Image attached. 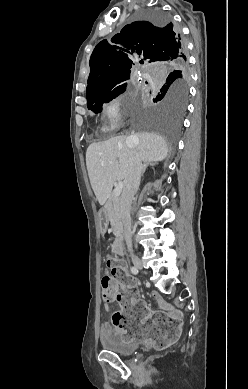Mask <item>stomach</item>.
I'll return each mask as SVG.
<instances>
[{
    "label": "stomach",
    "instance_id": "stomach-1",
    "mask_svg": "<svg viewBox=\"0 0 248 389\" xmlns=\"http://www.w3.org/2000/svg\"><path fill=\"white\" fill-rule=\"evenodd\" d=\"M107 209L105 207H100L99 208V213H100V225H101V230L100 233L103 235H106L108 233V226H107V220H110L111 215L110 213H106Z\"/></svg>",
    "mask_w": 248,
    "mask_h": 389
}]
</instances>
